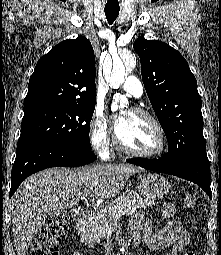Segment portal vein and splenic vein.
I'll return each instance as SVG.
<instances>
[{
  "label": "portal vein and splenic vein",
  "mask_w": 221,
  "mask_h": 255,
  "mask_svg": "<svg viewBox=\"0 0 221 255\" xmlns=\"http://www.w3.org/2000/svg\"><path fill=\"white\" fill-rule=\"evenodd\" d=\"M87 194H85L84 196H83V199H86L87 198ZM103 209H100V211H102ZM125 214V210H119L117 213H116V216H122V215H124Z\"/></svg>",
  "instance_id": "portal-vein-and-splenic-vein-1"
}]
</instances>
